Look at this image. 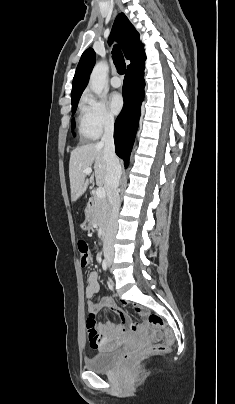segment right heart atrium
<instances>
[{"instance_id": "d8ad5b80", "label": "right heart atrium", "mask_w": 235, "mask_h": 404, "mask_svg": "<svg viewBox=\"0 0 235 404\" xmlns=\"http://www.w3.org/2000/svg\"><path fill=\"white\" fill-rule=\"evenodd\" d=\"M81 106L87 114L91 128L97 135L114 126L115 118L105 102L91 93L87 92L83 95Z\"/></svg>"}]
</instances>
